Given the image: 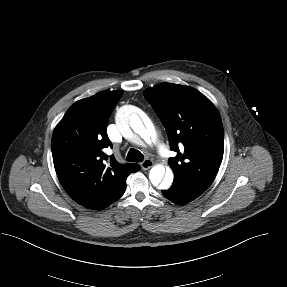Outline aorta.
I'll list each match as a JSON object with an SVG mask.
<instances>
[{
  "instance_id": "1",
  "label": "aorta",
  "mask_w": 287,
  "mask_h": 287,
  "mask_svg": "<svg viewBox=\"0 0 287 287\" xmlns=\"http://www.w3.org/2000/svg\"><path fill=\"white\" fill-rule=\"evenodd\" d=\"M117 124L122 129L127 128V124H130L132 130L144 140H148L150 134H155L153 123L147 116L141 120L137 114H131L128 109H123L118 113ZM173 178V172L170 169L165 172V167L161 164L155 165L149 172L151 183L161 189H168L173 183Z\"/></svg>"
}]
</instances>
